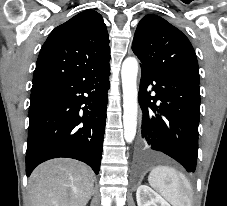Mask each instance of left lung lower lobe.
<instances>
[{"label": "left lung lower lobe", "instance_id": "0a47b994", "mask_svg": "<svg viewBox=\"0 0 227 206\" xmlns=\"http://www.w3.org/2000/svg\"><path fill=\"white\" fill-rule=\"evenodd\" d=\"M141 70L143 148L163 152L188 172H194L200 119L199 83L142 66ZM149 85L155 96L150 95Z\"/></svg>", "mask_w": 227, "mask_h": 206}]
</instances>
